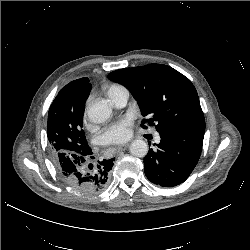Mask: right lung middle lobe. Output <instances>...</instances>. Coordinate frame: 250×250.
<instances>
[{
  "label": "right lung middle lobe",
  "mask_w": 250,
  "mask_h": 250,
  "mask_svg": "<svg viewBox=\"0 0 250 250\" xmlns=\"http://www.w3.org/2000/svg\"><path fill=\"white\" fill-rule=\"evenodd\" d=\"M64 105L51 104L48 113L47 137L53 160L58 153L66 152L68 155L84 154L89 149L87 140L82 130L84 107L78 115L69 117L64 115Z\"/></svg>",
  "instance_id": "obj_1"
}]
</instances>
